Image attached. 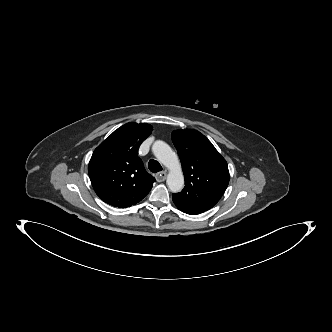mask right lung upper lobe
Listing matches in <instances>:
<instances>
[{
  "label": "right lung upper lobe",
  "instance_id": "cb5924a9",
  "mask_svg": "<svg viewBox=\"0 0 332 332\" xmlns=\"http://www.w3.org/2000/svg\"><path fill=\"white\" fill-rule=\"evenodd\" d=\"M151 130L149 124L127 123L94 150L88 172L94 191L107 204L130 207L150 192L156 180L146 172L138 149Z\"/></svg>",
  "mask_w": 332,
  "mask_h": 332
}]
</instances>
